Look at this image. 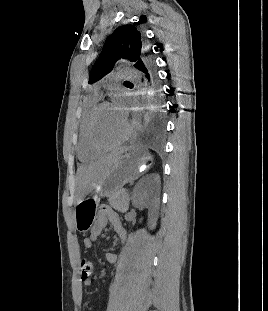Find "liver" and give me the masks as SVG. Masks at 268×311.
I'll return each mask as SVG.
<instances>
[{
    "mask_svg": "<svg viewBox=\"0 0 268 311\" xmlns=\"http://www.w3.org/2000/svg\"><path fill=\"white\" fill-rule=\"evenodd\" d=\"M124 151V149H120L97 162L79 168L76 178L77 203L93 192L97 185L108 175L112 165Z\"/></svg>",
    "mask_w": 268,
    "mask_h": 311,
    "instance_id": "1",
    "label": "liver"
}]
</instances>
